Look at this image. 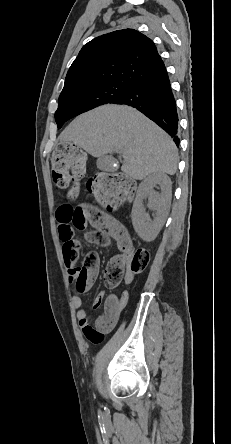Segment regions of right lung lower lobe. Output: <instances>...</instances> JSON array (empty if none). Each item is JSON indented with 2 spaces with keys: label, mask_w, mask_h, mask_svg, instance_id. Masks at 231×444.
Wrapping results in <instances>:
<instances>
[{
  "label": "right lung lower lobe",
  "mask_w": 231,
  "mask_h": 444,
  "mask_svg": "<svg viewBox=\"0 0 231 444\" xmlns=\"http://www.w3.org/2000/svg\"><path fill=\"white\" fill-rule=\"evenodd\" d=\"M114 103L137 108L173 137L179 146V119L167 71L136 82L124 97Z\"/></svg>",
  "instance_id": "1"
}]
</instances>
